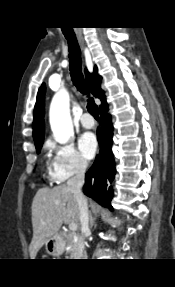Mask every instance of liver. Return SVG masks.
I'll use <instances>...</instances> for the list:
<instances>
[{"instance_id":"liver-1","label":"liver","mask_w":175,"mask_h":287,"mask_svg":"<svg viewBox=\"0 0 175 287\" xmlns=\"http://www.w3.org/2000/svg\"><path fill=\"white\" fill-rule=\"evenodd\" d=\"M33 238L29 246L31 259L46 241L57 234L63 223H78L79 208L73 193L66 185L52 189L41 188L34 196L32 206Z\"/></svg>"}]
</instances>
